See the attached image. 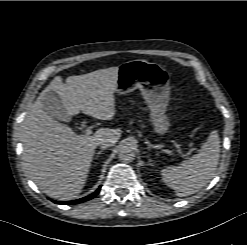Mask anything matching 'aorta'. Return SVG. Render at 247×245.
<instances>
[{
	"label": "aorta",
	"mask_w": 247,
	"mask_h": 245,
	"mask_svg": "<svg viewBox=\"0 0 247 245\" xmlns=\"http://www.w3.org/2000/svg\"><path fill=\"white\" fill-rule=\"evenodd\" d=\"M118 157L123 162H132L135 159V148L128 144L122 145Z\"/></svg>",
	"instance_id": "1"
}]
</instances>
